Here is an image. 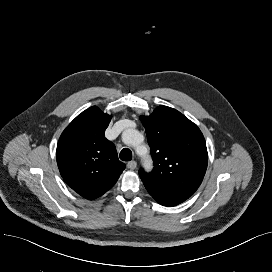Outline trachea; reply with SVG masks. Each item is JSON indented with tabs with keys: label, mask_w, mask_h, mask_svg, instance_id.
Here are the masks:
<instances>
[{
	"label": "trachea",
	"mask_w": 272,
	"mask_h": 272,
	"mask_svg": "<svg viewBox=\"0 0 272 272\" xmlns=\"http://www.w3.org/2000/svg\"><path fill=\"white\" fill-rule=\"evenodd\" d=\"M120 159L122 161H130L132 159V152L128 148H124L120 152Z\"/></svg>",
	"instance_id": "3493384b"
}]
</instances>
